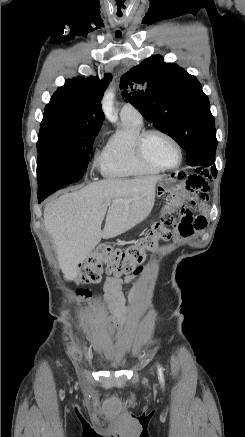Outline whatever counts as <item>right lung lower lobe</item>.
I'll return each mask as SVG.
<instances>
[{"label":"right lung lower lobe","instance_id":"obj_1","mask_svg":"<svg viewBox=\"0 0 245 437\" xmlns=\"http://www.w3.org/2000/svg\"><path fill=\"white\" fill-rule=\"evenodd\" d=\"M83 176L70 175V174H49L41 179L38 183V203H41L53 192L63 188L64 186L76 182Z\"/></svg>","mask_w":245,"mask_h":437}]
</instances>
